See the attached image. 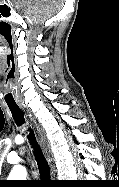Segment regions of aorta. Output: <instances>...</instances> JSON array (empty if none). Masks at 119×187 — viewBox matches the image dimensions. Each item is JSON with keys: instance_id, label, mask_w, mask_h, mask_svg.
Masks as SVG:
<instances>
[{"instance_id": "obj_1", "label": "aorta", "mask_w": 119, "mask_h": 187, "mask_svg": "<svg viewBox=\"0 0 119 187\" xmlns=\"http://www.w3.org/2000/svg\"><path fill=\"white\" fill-rule=\"evenodd\" d=\"M27 175L26 168L23 166H14L10 172L9 178L12 180H25Z\"/></svg>"}]
</instances>
